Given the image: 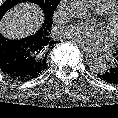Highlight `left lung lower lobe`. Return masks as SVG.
Here are the masks:
<instances>
[{
  "mask_svg": "<svg viewBox=\"0 0 118 118\" xmlns=\"http://www.w3.org/2000/svg\"><path fill=\"white\" fill-rule=\"evenodd\" d=\"M97 76L109 84H118V51L113 54L112 61L104 73H99Z\"/></svg>",
  "mask_w": 118,
  "mask_h": 118,
  "instance_id": "obj_1",
  "label": "left lung lower lobe"
}]
</instances>
